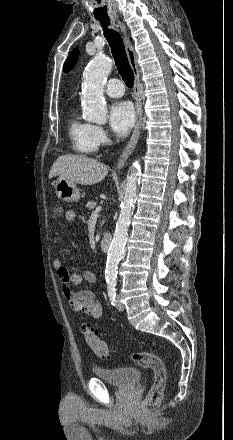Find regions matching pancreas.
Segmentation results:
<instances>
[{"instance_id":"pancreas-1","label":"pancreas","mask_w":233,"mask_h":440,"mask_svg":"<svg viewBox=\"0 0 233 440\" xmlns=\"http://www.w3.org/2000/svg\"><path fill=\"white\" fill-rule=\"evenodd\" d=\"M96 206H97V203L94 202V201H89V202L86 204V208H88L89 210H93Z\"/></svg>"}]
</instances>
